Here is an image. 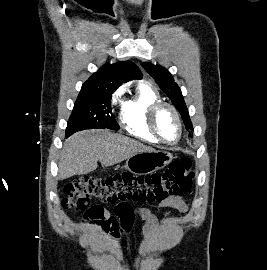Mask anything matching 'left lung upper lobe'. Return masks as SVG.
Listing matches in <instances>:
<instances>
[{
  "instance_id": "5c2ea615",
  "label": "left lung upper lobe",
  "mask_w": 267,
  "mask_h": 270,
  "mask_svg": "<svg viewBox=\"0 0 267 270\" xmlns=\"http://www.w3.org/2000/svg\"><path fill=\"white\" fill-rule=\"evenodd\" d=\"M143 68L155 79L160 89L171 99L173 105L180 112L187 130H193L189 112L184 102L178 85L174 82L172 75L162 66L151 63H142Z\"/></svg>"
}]
</instances>
